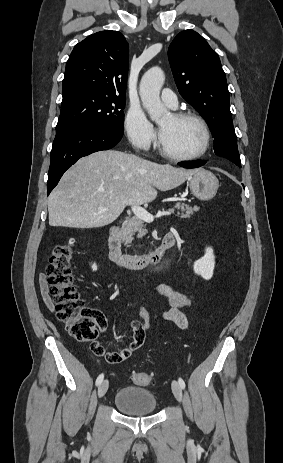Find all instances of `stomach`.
Listing matches in <instances>:
<instances>
[{
    "mask_svg": "<svg viewBox=\"0 0 283 463\" xmlns=\"http://www.w3.org/2000/svg\"><path fill=\"white\" fill-rule=\"evenodd\" d=\"M189 187L191 193L202 201L211 200L217 193L219 181L210 171L198 169V171L189 178Z\"/></svg>",
    "mask_w": 283,
    "mask_h": 463,
    "instance_id": "stomach-1",
    "label": "stomach"
}]
</instances>
